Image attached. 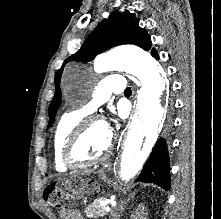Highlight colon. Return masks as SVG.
<instances>
[{"mask_svg": "<svg viewBox=\"0 0 221 219\" xmlns=\"http://www.w3.org/2000/svg\"><path fill=\"white\" fill-rule=\"evenodd\" d=\"M45 195H52L51 204L57 208L68 209L72 205V194L67 192L60 183L49 185Z\"/></svg>", "mask_w": 221, "mask_h": 219, "instance_id": "obj_1", "label": "colon"}]
</instances>
